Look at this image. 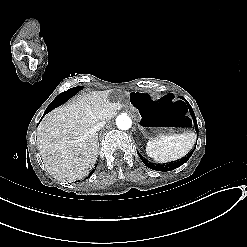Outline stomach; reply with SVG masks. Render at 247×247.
<instances>
[{
    "instance_id": "stomach-1",
    "label": "stomach",
    "mask_w": 247,
    "mask_h": 247,
    "mask_svg": "<svg viewBox=\"0 0 247 247\" xmlns=\"http://www.w3.org/2000/svg\"><path fill=\"white\" fill-rule=\"evenodd\" d=\"M138 126L146 138H161L188 132L191 120L185 103L172 94L156 96L135 91L129 95Z\"/></svg>"
}]
</instances>
